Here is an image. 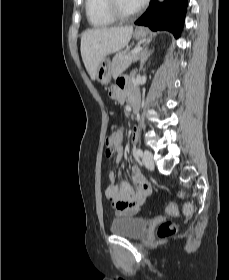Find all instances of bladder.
<instances>
[{"instance_id": "1", "label": "bladder", "mask_w": 229, "mask_h": 280, "mask_svg": "<svg viewBox=\"0 0 229 280\" xmlns=\"http://www.w3.org/2000/svg\"><path fill=\"white\" fill-rule=\"evenodd\" d=\"M110 231L117 236L140 239L148 231V222L145 218L135 216L117 218L111 222Z\"/></svg>"}]
</instances>
